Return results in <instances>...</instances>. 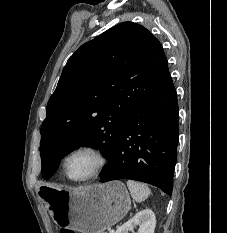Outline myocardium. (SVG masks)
<instances>
[{
  "instance_id": "myocardium-1",
  "label": "myocardium",
  "mask_w": 227,
  "mask_h": 233,
  "mask_svg": "<svg viewBox=\"0 0 227 233\" xmlns=\"http://www.w3.org/2000/svg\"><path fill=\"white\" fill-rule=\"evenodd\" d=\"M80 152H88L92 154L96 158L97 164L90 174H88L87 176L83 178L75 179L70 176L68 165H69L70 159L74 155ZM107 164H108V157L101 147L94 145V144H84V145H81L73 149L66 155L63 166H64V172H65L66 177L73 182L80 183V182H86V181L96 178L98 175H100L103 172Z\"/></svg>"
}]
</instances>
